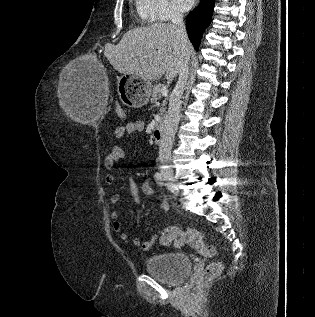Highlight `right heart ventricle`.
<instances>
[{"mask_svg": "<svg viewBox=\"0 0 315 317\" xmlns=\"http://www.w3.org/2000/svg\"><path fill=\"white\" fill-rule=\"evenodd\" d=\"M136 11H137L138 19L141 23L145 24L152 21L150 16L144 10L141 0H136Z\"/></svg>", "mask_w": 315, "mask_h": 317, "instance_id": "1", "label": "right heart ventricle"}]
</instances>
